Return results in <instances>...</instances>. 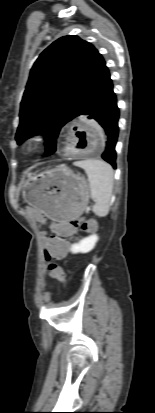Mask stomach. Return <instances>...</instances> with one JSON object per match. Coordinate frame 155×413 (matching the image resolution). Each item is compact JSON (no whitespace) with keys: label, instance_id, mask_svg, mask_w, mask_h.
Instances as JSON below:
<instances>
[{"label":"stomach","instance_id":"0dacf381","mask_svg":"<svg viewBox=\"0 0 155 413\" xmlns=\"http://www.w3.org/2000/svg\"><path fill=\"white\" fill-rule=\"evenodd\" d=\"M23 197L29 205L54 221H68L87 208L90 187L86 179L66 166L30 175L23 184Z\"/></svg>","mask_w":155,"mask_h":413}]
</instances>
